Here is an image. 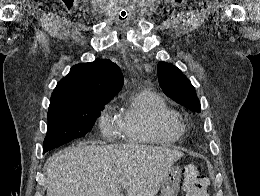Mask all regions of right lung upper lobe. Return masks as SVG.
Segmentation results:
<instances>
[{
	"label": "right lung upper lobe",
	"instance_id": "1",
	"mask_svg": "<svg viewBox=\"0 0 260 196\" xmlns=\"http://www.w3.org/2000/svg\"><path fill=\"white\" fill-rule=\"evenodd\" d=\"M123 75L119 67L107 59L73 66L58 82L50 106L95 101H110L121 89Z\"/></svg>",
	"mask_w": 260,
	"mask_h": 196
}]
</instances>
